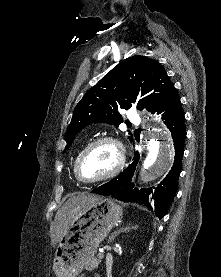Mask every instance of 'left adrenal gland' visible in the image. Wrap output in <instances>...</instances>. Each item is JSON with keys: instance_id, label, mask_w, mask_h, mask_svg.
Instances as JSON below:
<instances>
[{"instance_id": "left-adrenal-gland-1", "label": "left adrenal gland", "mask_w": 221, "mask_h": 277, "mask_svg": "<svg viewBox=\"0 0 221 277\" xmlns=\"http://www.w3.org/2000/svg\"><path fill=\"white\" fill-rule=\"evenodd\" d=\"M136 227H131V228H120L119 230L114 231L110 236H109V241L111 242L112 240L115 239L116 236H118L121 233L124 232H129L130 230L134 229Z\"/></svg>"}]
</instances>
